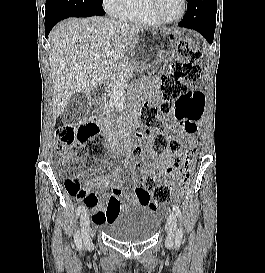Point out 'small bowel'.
I'll use <instances>...</instances> for the list:
<instances>
[{
  "label": "small bowel",
  "mask_w": 265,
  "mask_h": 273,
  "mask_svg": "<svg viewBox=\"0 0 265 273\" xmlns=\"http://www.w3.org/2000/svg\"><path fill=\"white\" fill-rule=\"evenodd\" d=\"M180 132V135L184 138ZM131 151L130 145L119 147L112 145L111 152L114 155L128 154ZM152 162L144 164L142 161L141 168L144 174H154L159 179L172 170L174 164L179 159V155L172 151H166L162 155L150 154ZM130 167L131 172V184L133 185V191L135 195L129 198L122 190V169L115 168L110 176L99 177L95 181L85 182V195L77 197L76 200L80 201L85 207L93 209V224L98 227H104L111 219H113L120 210L126 207L125 203H121L122 200L127 201L129 204H150L151 203V190H146V186H142L141 179L138 176L136 170L132 167L130 162H126ZM109 185L112 188V194L107 198L100 197L95 193V189Z\"/></svg>",
  "instance_id": "1"
}]
</instances>
